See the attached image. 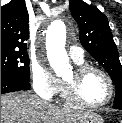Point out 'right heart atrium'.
<instances>
[{
	"label": "right heart atrium",
	"instance_id": "right-heart-atrium-1",
	"mask_svg": "<svg viewBox=\"0 0 122 123\" xmlns=\"http://www.w3.org/2000/svg\"><path fill=\"white\" fill-rule=\"evenodd\" d=\"M30 78L34 91L44 99H52L60 91V80L39 60L31 63Z\"/></svg>",
	"mask_w": 122,
	"mask_h": 123
}]
</instances>
